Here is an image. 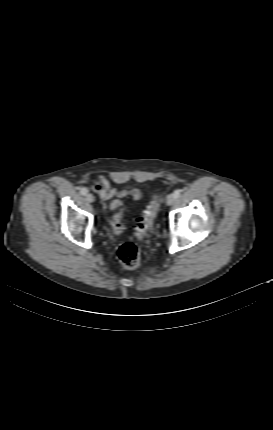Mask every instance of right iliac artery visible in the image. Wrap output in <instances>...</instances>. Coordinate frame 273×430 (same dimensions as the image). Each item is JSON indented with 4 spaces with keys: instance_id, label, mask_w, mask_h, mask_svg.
<instances>
[{
    "instance_id": "1",
    "label": "right iliac artery",
    "mask_w": 273,
    "mask_h": 430,
    "mask_svg": "<svg viewBox=\"0 0 273 430\" xmlns=\"http://www.w3.org/2000/svg\"><path fill=\"white\" fill-rule=\"evenodd\" d=\"M87 192H88V190H87V188H85V187H83V188H81V189H80V193H81L82 195H86V194H87Z\"/></svg>"
}]
</instances>
